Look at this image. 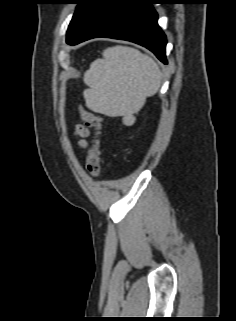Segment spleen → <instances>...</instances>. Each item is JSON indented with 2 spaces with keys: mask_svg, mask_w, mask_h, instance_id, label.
I'll return each instance as SVG.
<instances>
[{
  "mask_svg": "<svg viewBox=\"0 0 236 321\" xmlns=\"http://www.w3.org/2000/svg\"><path fill=\"white\" fill-rule=\"evenodd\" d=\"M83 96L94 112L115 117L138 112L161 84L158 65L149 56L123 46L107 48L84 74Z\"/></svg>",
  "mask_w": 236,
  "mask_h": 321,
  "instance_id": "spleen-1",
  "label": "spleen"
}]
</instances>
